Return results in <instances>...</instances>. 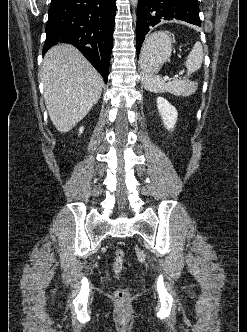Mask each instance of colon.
I'll list each match as a JSON object with an SVG mask.
<instances>
[{
    "label": "colon",
    "instance_id": "1",
    "mask_svg": "<svg viewBox=\"0 0 247 332\" xmlns=\"http://www.w3.org/2000/svg\"><path fill=\"white\" fill-rule=\"evenodd\" d=\"M125 253L122 249H116L114 252L113 270L120 274L124 266ZM115 297L120 302H127L130 299V292L126 288H119L115 292Z\"/></svg>",
    "mask_w": 247,
    "mask_h": 332
}]
</instances>
